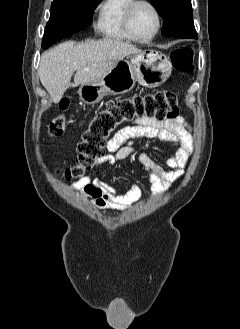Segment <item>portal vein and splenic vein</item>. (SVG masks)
<instances>
[{
  "mask_svg": "<svg viewBox=\"0 0 240 329\" xmlns=\"http://www.w3.org/2000/svg\"><path fill=\"white\" fill-rule=\"evenodd\" d=\"M84 70H88V68H84Z\"/></svg>",
  "mask_w": 240,
  "mask_h": 329,
  "instance_id": "18ae733b",
  "label": "portal vein and splenic vein"
}]
</instances>
